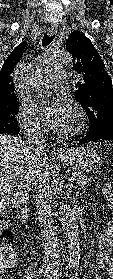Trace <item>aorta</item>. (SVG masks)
I'll return each instance as SVG.
<instances>
[{
    "label": "aorta",
    "mask_w": 113,
    "mask_h": 279,
    "mask_svg": "<svg viewBox=\"0 0 113 279\" xmlns=\"http://www.w3.org/2000/svg\"><path fill=\"white\" fill-rule=\"evenodd\" d=\"M72 62V56L66 50H57L46 58V65L49 68H58L67 66ZM60 222L68 242L69 249V267H77L80 262V238L76 214L67 202H61Z\"/></svg>",
    "instance_id": "obj_1"
}]
</instances>
